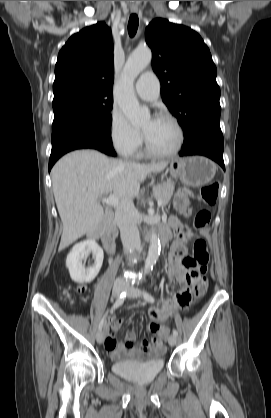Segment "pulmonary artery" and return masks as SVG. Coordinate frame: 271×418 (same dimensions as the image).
Listing matches in <instances>:
<instances>
[{
  "instance_id": "e3ab8cb5",
  "label": "pulmonary artery",
  "mask_w": 271,
  "mask_h": 418,
  "mask_svg": "<svg viewBox=\"0 0 271 418\" xmlns=\"http://www.w3.org/2000/svg\"><path fill=\"white\" fill-rule=\"evenodd\" d=\"M137 95L147 101L158 98L160 92V84L157 76L151 72H144L135 84Z\"/></svg>"
}]
</instances>
